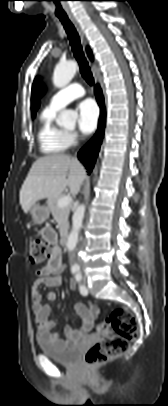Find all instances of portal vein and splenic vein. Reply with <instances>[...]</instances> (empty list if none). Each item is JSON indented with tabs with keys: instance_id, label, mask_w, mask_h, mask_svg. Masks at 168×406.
Listing matches in <instances>:
<instances>
[{
	"instance_id": "portal-vein-and-splenic-vein-1",
	"label": "portal vein and splenic vein",
	"mask_w": 168,
	"mask_h": 406,
	"mask_svg": "<svg viewBox=\"0 0 168 406\" xmlns=\"http://www.w3.org/2000/svg\"><path fill=\"white\" fill-rule=\"evenodd\" d=\"M72 202V198L71 196H63L62 198H60L57 202V206L59 208H63L68 206L70 203Z\"/></svg>"
}]
</instances>
